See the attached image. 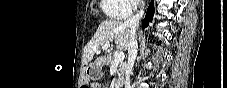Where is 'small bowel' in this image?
<instances>
[{
	"instance_id": "c3829d8e",
	"label": "small bowel",
	"mask_w": 227,
	"mask_h": 88,
	"mask_svg": "<svg viewBox=\"0 0 227 88\" xmlns=\"http://www.w3.org/2000/svg\"><path fill=\"white\" fill-rule=\"evenodd\" d=\"M93 87L94 88H102V86L100 84H98V83L94 84Z\"/></svg>"
}]
</instances>
